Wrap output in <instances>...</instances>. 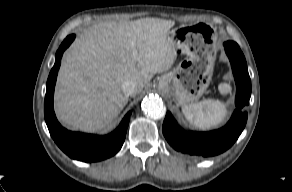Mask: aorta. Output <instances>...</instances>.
I'll return each mask as SVG.
<instances>
[{"mask_svg": "<svg viewBox=\"0 0 292 192\" xmlns=\"http://www.w3.org/2000/svg\"><path fill=\"white\" fill-rule=\"evenodd\" d=\"M142 110L154 119L164 116L165 108L162 99L158 96L150 95L145 97L141 103Z\"/></svg>", "mask_w": 292, "mask_h": 192, "instance_id": "obj_1", "label": "aorta"}]
</instances>
